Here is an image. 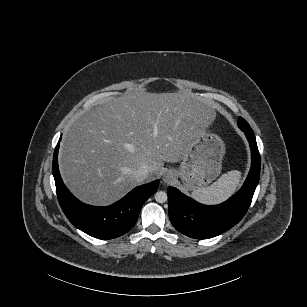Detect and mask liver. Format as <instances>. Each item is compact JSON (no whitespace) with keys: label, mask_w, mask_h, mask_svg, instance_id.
<instances>
[{"label":"liver","mask_w":307,"mask_h":307,"mask_svg":"<svg viewBox=\"0 0 307 307\" xmlns=\"http://www.w3.org/2000/svg\"><path fill=\"white\" fill-rule=\"evenodd\" d=\"M209 99L183 93H125L99 103L71 124L63 139L60 171L81 201L106 206L138 183L162 174L164 161L179 162L210 117Z\"/></svg>","instance_id":"6515ba94"}]
</instances>
